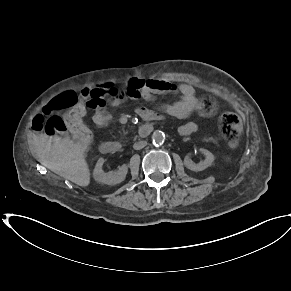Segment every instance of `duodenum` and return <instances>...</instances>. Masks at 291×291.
Here are the masks:
<instances>
[{"mask_svg": "<svg viewBox=\"0 0 291 291\" xmlns=\"http://www.w3.org/2000/svg\"><path fill=\"white\" fill-rule=\"evenodd\" d=\"M149 123L142 125L139 128V135L141 137H146L150 134V132L152 131V125H151V121L148 120ZM120 148L119 144L113 141H106L103 142L100 146V150L103 154H112L115 153L116 151H118Z\"/></svg>", "mask_w": 291, "mask_h": 291, "instance_id": "duodenum-1", "label": "duodenum"}]
</instances>
